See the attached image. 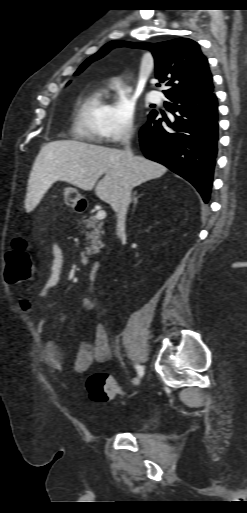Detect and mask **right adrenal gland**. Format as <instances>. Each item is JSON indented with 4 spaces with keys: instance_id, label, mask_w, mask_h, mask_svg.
Returning a JSON list of instances; mask_svg holds the SVG:
<instances>
[{
    "instance_id": "obj_1",
    "label": "right adrenal gland",
    "mask_w": 247,
    "mask_h": 513,
    "mask_svg": "<svg viewBox=\"0 0 247 513\" xmlns=\"http://www.w3.org/2000/svg\"><path fill=\"white\" fill-rule=\"evenodd\" d=\"M132 200H133V203H134L133 209H135V207L137 205V202H138L137 191H135L133 193Z\"/></svg>"
}]
</instances>
